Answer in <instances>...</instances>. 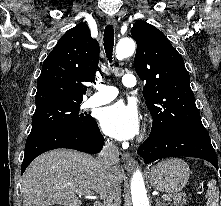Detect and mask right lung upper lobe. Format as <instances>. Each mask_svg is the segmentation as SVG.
<instances>
[{
  "label": "right lung upper lobe",
  "instance_id": "obj_1",
  "mask_svg": "<svg viewBox=\"0 0 221 206\" xmlns=\"http://www.w3.org/2000/svg\"><path fill=\"white\" fill-rule=\"evenodd\" d=\"M99 62V44L89 27L79 23L68 30L45 59L37 80L36 107L79 103L92 82Z\"/></svg>",
  "mask_w": 221,
  "mask_h": 206
}]
</instances>
